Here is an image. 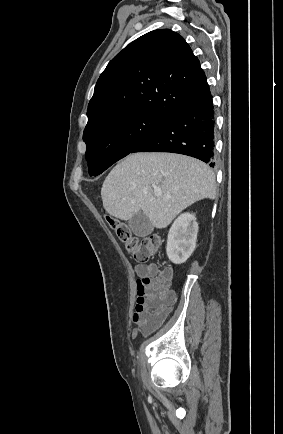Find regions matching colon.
<instances>
[{"instance_id":"5ec220e1","label":"colon","mask_w":283,"mask_h":434,"mask_svg":"<svg viewBox=\"0 0 283 434\" xmlns=\"http://www.w3.org/2000/svg\"><path fill=\"white\" fill-rule=\"evenodd\" d=\"M106 221L136 261L145 263L157 252L159 241L155 236H137L128 229L124 222L112 216H106ZM170 280L171 271L168 268L137 280V300L133 322L141 332H152L166 318L175 299L173 292L169 289Z\"/></svg>"}]
</instances>
